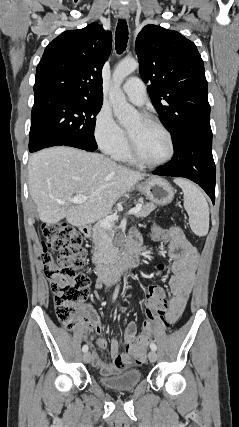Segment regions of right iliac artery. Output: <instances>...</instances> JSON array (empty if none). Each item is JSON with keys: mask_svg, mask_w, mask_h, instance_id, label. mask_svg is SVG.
Masks as SVG:
<instances>
[{"mask_svg": "<svg viewBox=\"0 0 239 427\" xmlns=\"http://www.w3.org/2000/svg\"><path fill=\"white\" fill-rule=\"evenodd\" d=\"M118 291H119V286H117V287H116V289H115V292H114V295H113V301H115V300H116L117 295H118ZM82 351H83V352H87V351H88V346H87V345H84V346L82 347Z\"/></svg>", "mask_w": 239, "mask_h": 427, "instance_id": "1", "label": "right iliac artery"}]
</instances>
